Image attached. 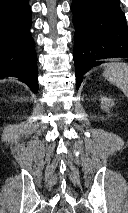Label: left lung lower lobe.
<instances>
[{
	"label": "left lung lower lobe",
	"instance_id": "1",
	"mask_svg": "<svg viewBox=\"0 0 128 213\" xmlns=\"http://www.w3.org/2000/svg\"><path fill=\"white\" fill-rule=\"evenodd\" d=\"M76 87L105 58H128V27L119 0H73Z\"/></svg>",
	"mask_w": 128,
	"mask_h": 213
}]
</instances>
